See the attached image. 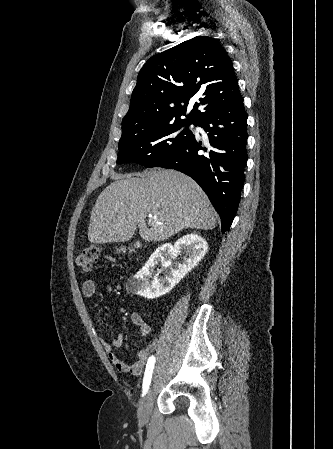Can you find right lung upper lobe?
Masks as SVG:
<instances>
[{"instance_id": "1", "label": "right lung upper lobe", "mask_w": 333, "mask_h": 449, "mask_svg": "<svg viewBox=\"0 0 333 449\" xmlns=\"http://www.w3.org/2000/svg\"><path fill=\"white\" fill-rule=\"evenodd\" d=\"M240 94L232 61L224 47L207 36H197L151 57L142 67L120 141L138 136L186 114L201 118ZM200 107V110L198 109Z\"/></svg>"}]
</instances>
